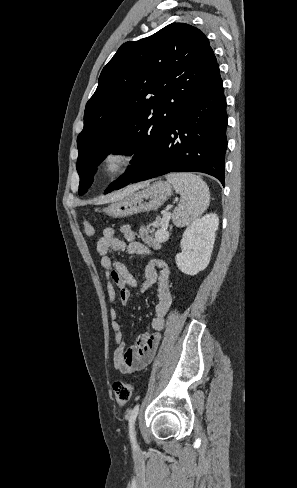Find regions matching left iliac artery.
Here are the masks:
<instances>
[{"label": "left iliac artery", "mask_w": 297, "mask_h": 488, "mask_svg": "<svg viewBox=\"0 0 297 488\" xmlns=\"http://www.w3.org/2000/svg\"><path fill=\"white\" fill-rule=\"evenodd\" d=\"M138 412H139V404H137L133 408V410L131 411V414L129 416V435H130V440H131L134 448H137L136 439H135V435H134V423H135L136 417L138 415Z\"/></svg>", "instance_id": "obj_1"}]
</instances>
